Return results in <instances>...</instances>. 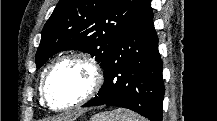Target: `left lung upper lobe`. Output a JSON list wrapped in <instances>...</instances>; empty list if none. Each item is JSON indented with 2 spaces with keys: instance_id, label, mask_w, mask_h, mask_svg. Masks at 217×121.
Masks as SVG:
<instances>
[{
  "instance_id": "5c2ea615",
  "label": "left lung upper lobe",
  "mask_w": 217,
  "mask_h": 121,
  "mask_svg": "<svg viewBox=\"0 0 217 121\" xmlns=\"http://www.w3.org/2000/svg\"><path fill=\"white\" fill-rule=\"evenodd\" d=\"M141 0H60L46 22L36 53L40 68L52 55L80 50L107 59Z\"/></svg>"
}]
</instances>
